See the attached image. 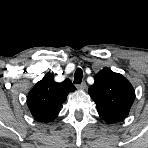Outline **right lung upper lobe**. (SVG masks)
I'll list each match as a JSON object with an SVG mask.
<instances>
[{
    "instance_id": "cb5924a9",
    "label": "right lung upper lobe",
    "mask_w": 148,
    "mask_h": 148,
    "mask_svg": "<svg viewBox=\"0 0 148 148\" xmlns=\"http://www.w3.org/2000/svg\"><path fill=\"white\" fill-rule=\"evenodd\" d=\"M75 86L69 79L62 83L54 81L52 74H46L37 82L27 97V104L33 117L40 122L48 123L57 118L62 103Z\"/></svg>"
}]
</instances>
